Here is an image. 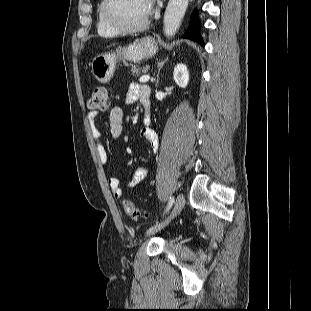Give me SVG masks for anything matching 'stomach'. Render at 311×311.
Returning <instances> with one entry per match:
<instances>
[{"mask_svg":"<svg viewBox=\"0 0 311 311\" xmlns=\"http://www.w3.org/2000/svg\"><path fill=\"white\" fill-rule=\"evenodd\" d=\"M158 51L152 37H144L127 46L119 47L115 52L97 55L91 63V72L101 83H107L113 77L118 60L125 59L134 63L153 57Z\"/></svg>","mask_w":311,"mask_h":311,"instance_id":"obj_1","label":"stomach"}]
</instances>
